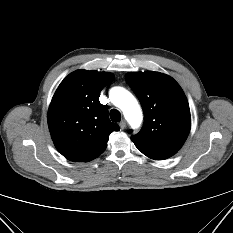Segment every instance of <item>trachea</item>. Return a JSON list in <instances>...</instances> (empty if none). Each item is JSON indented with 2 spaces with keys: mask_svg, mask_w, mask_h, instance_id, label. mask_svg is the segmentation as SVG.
<instances>
[{
  "mask_svg": "<svg viewBox=\"0 0 233 233\" xmlns=\"http://www.w3.org/2000/svg\"><path fill=\"white\" fill-rule=\"evenodd\" d=\"M110 118L113 122H119L121 120V114L118 110L112 109L110 111Z\"/></svg>",
  "mask_w": 233,
  "mask_h": 233,
  "instance_id": "1",
  "label": "trachea"
}]
</instances>
